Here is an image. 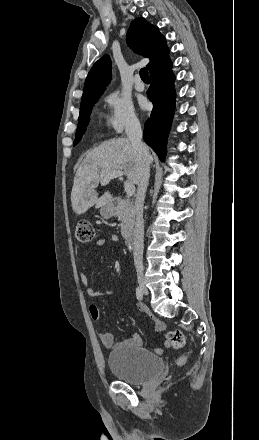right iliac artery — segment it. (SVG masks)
Segmentation results:
<instances>
[{"label": "right iliac artery", "mask_w": 259, "mask_h": 440, "mask_svg": "<svg viewBox=\"0 0 259 440\" xmlns=\"http://www.w3.org/2000/svg\"><path fill=\"white\" fill-rule=\"evenodd\" d=\"M142 296H143V293H142L140 287H137V288H136V297H137V299H138V300H141V299H142Z\"/></svg>", "instance_id": "right-iliac-artery-1"}]
</instances>
